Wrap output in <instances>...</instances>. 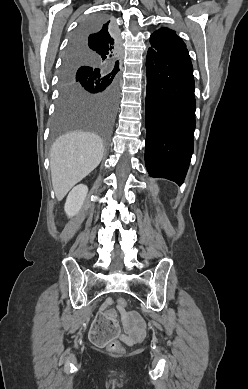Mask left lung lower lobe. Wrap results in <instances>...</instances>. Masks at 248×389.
<instances>
[{
  "label": "left lung lower lobe",
  "instance_id": "0a47b994",
  "mask_svg": "<svg viewBox=\"0 0 248 389\" xmlns=\"http://www.w3.org/2000/svg\"><path fill=\"white\" fill-rule=\"evenodd\" d=\"M145 164L152 177L184 181L193 153L196 101L187 49L149 48Z\"/></svg>",
  "mask_w": 248,
  "mask_h": 389
}]
</instances>
